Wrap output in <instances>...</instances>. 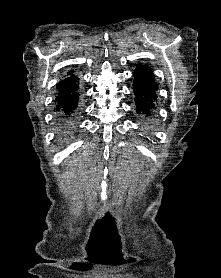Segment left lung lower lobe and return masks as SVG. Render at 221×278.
<instances>
[{
  "instance_id": "obj_1",
  "label": "left lung lower lobe",
  "mask_w": 221,
  "mask_h": 278,
  "mask_svg": "<svg viewBox=\"0 0 221 278\" xmlns=\"http://www.w3.org/2000/svg\"><path fill=\"white\" fill-rule=\"evenodd\" d=\"M133 91L135 94L136 112L144 118L151 119L156 109L158 86L152 69L138 65L134 71Z\"/></svg>"
}]
</instances>
